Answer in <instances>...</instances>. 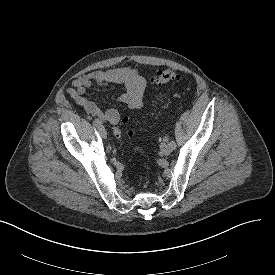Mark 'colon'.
I'll use <instances>...</instances> for the list:
<instances>
[{
  "mask_svg": "<svg viewBox=\"0 0 275 275\" xmlns=\"http://www.w3.org/2000/svg\"><path fill=\"white\" fill-rule=\"evenodd\" d=\"M181 77L172 70H160L154 74L152 77V82L155 85L163 86V85H172L178 82ZM114 135L117 138H121L124 135V128L122 123H118L113 129Z\"/></svg>",
  "mask_w": 275,
  "mask_h": 275,
  "instance_id": "5ec220e1",
  "label": "colon"
}]
</instances>
